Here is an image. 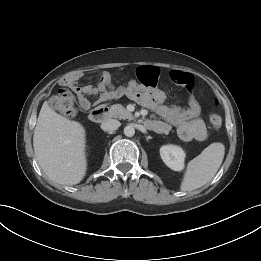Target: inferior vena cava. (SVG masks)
Wrapping results in <instances>:
<instances>
[{
  "label": "inferior vena cava",
  "instance_id": "602c4592",
  "mask_svg": "<svg viewBox=\"0 0 261 261\" xmlns=\"http://www.w3.org/2000/svg\"><path fill=\"white\" fill-rule=\"evenodd\" d=\"M120 122L116 119H106L101 124V129L103 131H114L120 127Z\"/></svg>",
  "mask_w": 261,
  "mask_h": 261
}]
</instances>
